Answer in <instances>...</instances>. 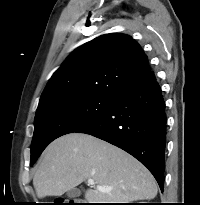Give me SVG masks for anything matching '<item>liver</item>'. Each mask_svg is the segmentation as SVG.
<instances>
[{"instance_id":"6515ba94","label":"liver","mask_w":200,"mask_h":205,"mask_svg":"<svg viewBox=\"0 0 200 205\" xmlns=\"http://www.w3.org/2000/svg\"><path fill=\"white\" fill-rule=\"evenodd\" d=\"M110 187L86 190L88 203H129L151 200L157 184L137 159L120 148L94 136L69 133L54 140L44 151L33 185L38 198L61 196L83 181Z\"/></svg>"}]
</instances>
